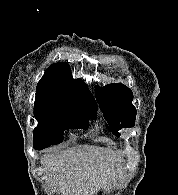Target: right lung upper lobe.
I'll return each mask as SVG.
<instances>
[{"label":"right lung upper lobe","mask_w":178,"mask_h":195,"mask_svg":"<svg viewBox=\"0 0 178 195\" xmlns=\"http://www.w3.org/2000/svg\"><path fill=\"white\" fill-rule=\"evenodd\" d=\"M35 103L97 106L84 82L73 79L69 65L62 62L52 64L44 73L37 85Z\"/></svg>","instance_id":"obj_1"}]
</instances>
